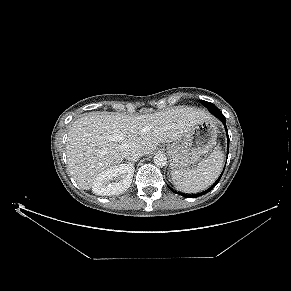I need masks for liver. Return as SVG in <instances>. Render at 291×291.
I'll list each match as a JSON object with an SVG mask.
<instances>
[{"label": "liver", "instance_id": "1", "mask_svg": "<svg viewBox=\"0 0 291 291\" xmlns=\"http://www.w3.org/2000/svg\"><path fill=\"white\" fill-rule=\"evenodd\" d=\"M210 118V113L188 106L139 116L115 113L82 116L68 132L66 154L70 174L80 188L89 190L102 172L123 161L128 147L137 146L143 155H148L158 145L179 140L195 124Z\"/></svg>", "mask_w": 291, "mask_h": 291}]
</instances>
